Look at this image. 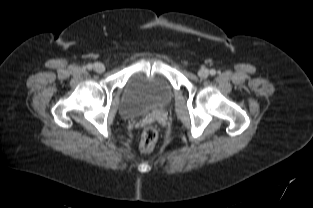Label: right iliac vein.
Wrapping results in <instances>:
<instances>
[{
	"mask_svg": "<svg viewBox=\"0 0 313 208\" xmlns=\"http://www.w3.org/2000/svg\"><path fill=\"white\" fill-rule=\"evenodd\" d=\"M93 68L98 73H102L105 70V66L102 63H100V62L95 63Z\"/></svg>",
	"mask_w": 313,
	"mask_h": 208,
	"instance_id": "63e3f726",
	"label": "right iliac vein"
}]
</instances>
